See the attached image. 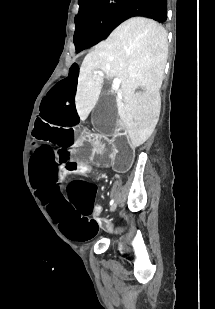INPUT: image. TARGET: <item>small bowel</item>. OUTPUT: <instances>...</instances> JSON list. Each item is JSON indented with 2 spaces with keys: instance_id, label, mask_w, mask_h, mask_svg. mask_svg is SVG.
I'll use <instances>...</instances> for the list:
<instances>
[{
  "instance_id": "1",
  "label": "small bowel",
  "mask_w": 215,
  "mask_h": 309,
  "mask_svg": "<svg viewBox=\"0 0 215 309\" xmlns=\"http://www.w3.org/2000/svg\"><path fill=\"white\" fill-rule=\"evenodd\" d=\"M102 212V208L100 206H96L93 212V219L97 218Z\"/></svg>"
}]
</instances>
